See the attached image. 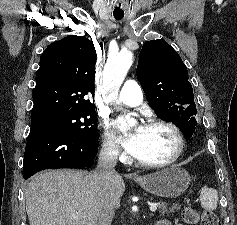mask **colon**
Masks as SVG:
<instances>
[{
  "instance_id": "colon-1",
  "label": "colon",
  "mask_w": 237,
  "mask_h": 225,
  "mask_svg": "<svg viewBox=\"0 0 237 225\" xmlns=\"http://www.w3.org/2000/svg\"><path fill=\"white\" fill-rule=\"evenodd\" d=\"M182 218L185 223L195 225L200 221V225H221L218 217L212 212H205L202 217H199L198 212L190 207L186 206L182 211Z\"/></svg>"
}]
</instances>
